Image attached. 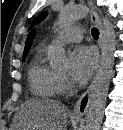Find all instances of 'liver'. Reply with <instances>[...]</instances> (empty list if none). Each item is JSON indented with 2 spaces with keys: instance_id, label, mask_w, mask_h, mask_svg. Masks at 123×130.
Returning a JSON list of instances; mask_svg holds the SVG:
<instances>
[{
  "instance_id": "liver-1",
  "label": "liver",
  "mask_w": 123,
  "mask_h": 130,
  "mask_svg": "<svg viewBox=\"0 0 123 130\" xmlns=\"http://www.w3.org/2000/svg\"><path fill=\"white\" fill-rule=\"evenodd\" d=\"M69 116L61 102L31 98L20 106L11 130H61Z\"/></svg>"
}]
</instances>
